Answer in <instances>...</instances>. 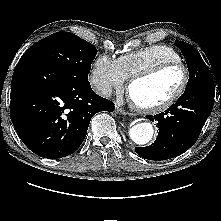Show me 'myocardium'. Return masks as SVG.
Segmentation results:
<instances>
[{
    "instance_id": "1",
    "label": "myocardium",
    "mask_w": 221,
    "mask_h": 221,
    "mask_svg": "<svg viewBox=\"0 0 221 221\" xmlns=\"http://www.w3.org/2000/svg\"><path fill=\"white\" fill-rule=\"evenodd\" d=\"M175 67H179L182 69L183 80H182V83H181L180 87L178 88V90L171 97H169L166 101H164L160 104H157V105H153V106H145V105H141V104L137 103L132 98L131 88L135 83H137L141 80H144V79L151 78L154 75H156L164 70H167L170 68H175ZM189 81H190L189 69L183 62H181V61H166V62L159 63L157 65L151 66V67L133 75L128 82L127 91H128V95L131 99L133 106L137 110L145 112V113L157 114V113H161V112H164V111L170 109L174 104H176L178 102V100L185 93V91L189 85Z\"/></svg>"
}]
</instances>
